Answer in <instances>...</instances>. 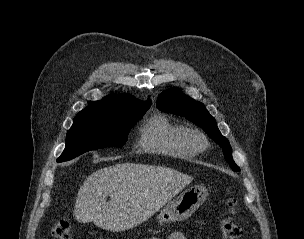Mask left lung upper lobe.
<instances>
[{
  "instance_id": "5c2ea615",
  "label": "left lung upper lobe",
  "mask_w": 304,
  "mask_h": 239,
  "mask_svg": "<svg viewBox=\"0 0 304 239\" xmlns=\"http://www.w3.org/2000/svg\"><path fill=\"white\" fill-rule=\"evenodd\" d=\"M157 107L164 112L183 116L199 125L209 137L223 148L225 159L230 164L232 170H240L233 161L229 141L220 133L216 120L209 114L203 103L181 93L178 88H171L159 95Z\"/></svg>"
}]
</instances>
